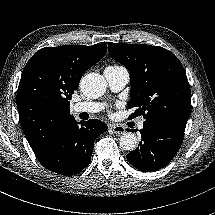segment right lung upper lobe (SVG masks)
Listing matches in <instances>:
<instances>
[{
	"label": "right lung upper lobe",
	"mask_w": 215,
	"mask_h": 215,
	"mask_svg": "<svg viewBox=\"0 0 215 215\" xmlns=\"http://www.w3.org/2000/svg\"><path fill=\"white\" fill-rule=\"evenodd\" d=\"M106 52V44L45 47L28 61L16 100L24 135L35 154L73 118L69 99L83 74Z\"/></svg>",
	"instance_id": "1"
}]
</instances>
